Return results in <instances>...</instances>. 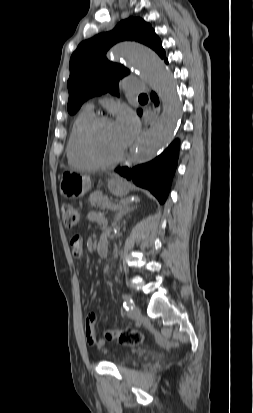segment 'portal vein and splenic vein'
Listing matches in <instances>:
<instances>
[{"mask_svg":"<svg viewBox=\"0 0 253 413\" xmlns=\"http://www.w3.org/2000/svg\"><path fill=\"white\" fill-rule=\"evenodd\" d=\"M104 206H105L107 209H109V210L119 208V205L112 204V203H106V204H104Z\"/></svg>","mask_w":253,"mask_h":413,"instance_id":"portal-vein-and-splenic-vein-1","label":"portal vein and splenic vein"}]
</instances>
